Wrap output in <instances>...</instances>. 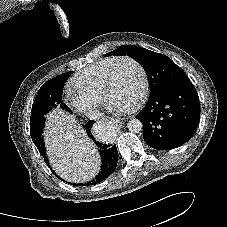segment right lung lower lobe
<instances>
[{"mask_svg":"<svg viewBox=\"0 0 227 227\" xmlns=\"http://www.w3.org/2000/svg\"><path fill=\"white\" fill-rule=\"evenodd\" d=\"M94 122L95 121H93V120H89L86 123V125L84 126V128L86 129V131L88 133V136L100 148L99 151H100V154H101V157H102V168H101L100 173L92 181V183L89 182V183H86V184H73V185H76V186H79V185H90V184L99 183V182L105 180L109 175H111L113 173V171L115 170L116 166H117L118 151H117L116 145H107V144H102L100 142H96V140L94 139V137H93V135L91 134V131H90L91 130V126H93ZM43 157L45 158L46 164L50 167L46 155L43 156ZM53 174H55V173L53 172ZM58 178L60 179V177H58Z\"/></svg>","mask_w":227,"mask_h":227,"instance_id":"98d812e1","label":"right lung lower lobe"}]
</instances>
